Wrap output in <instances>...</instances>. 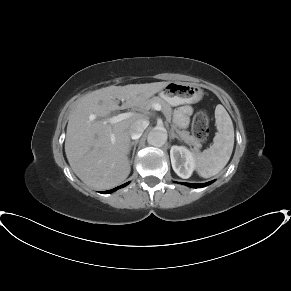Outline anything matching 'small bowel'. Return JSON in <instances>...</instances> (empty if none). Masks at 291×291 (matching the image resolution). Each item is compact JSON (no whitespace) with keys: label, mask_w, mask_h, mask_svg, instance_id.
Returning <instances> with one entry per match:
<instances>
[{"label":"small bowel","mask_w":291,"mask_h":291,"mask_svg":"<svg viewBox=\"0 0 291 291\" xmlns=\"http://www.w3.org/2000/svg\"><path fill=\"white\" fill-rule=\"evenodd\" d=\"M191 109L188 106H183L179 108L175 113V119L179 126H185L188 120V114Z\"/></svg>","instance_id":"obj_1"}]
</instances>
